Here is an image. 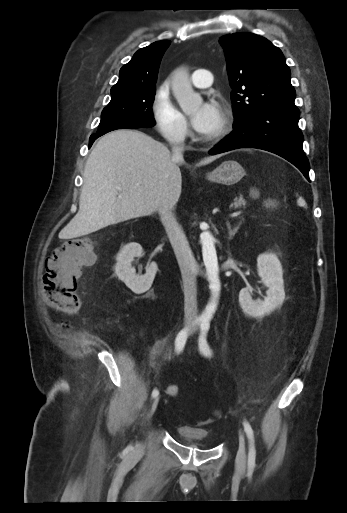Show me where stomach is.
I'll return each instance as SVG.
<instances>
[{
	"instance_id": "stomach-1",
	"label": "stomach",
	"mask_w": 347,
	"mask_h": 513,
	"mask_svg": "<svg viewBox=\"0 0 347 513\" xmlns=\"http://www.w3.org/2000/svg\"><path fill=\"white\" fill-rule=\"evenodd\" d=\"M245 174L243 167L235 160H227L220 164L215 170L207 174L211 182L233 185L239 182Z\"/></svg>"
}]
</instances>
